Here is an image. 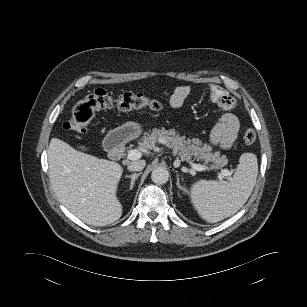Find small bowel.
I'll return each instance as SVG.
<instances>
[{"mask_svg": "<svg viewBox=\"0 0 307 307\" xmlns=\"http://www.w3.org/2000/svg\"><path fill=\"white\" fill-rule=\"evenodd\" d=\"M190 93L191 87L188 85L176 87L169 98L170 107L174 109L181 107ZM209 93L221 108H232L233 99L220 86L211 84ZM239 128V120L233 113L223 114L210 133V143L222 149H229L237 138Z\"/></svg>", "mask_w": 307, "mask_h": 307, "instance_id": "1", "label": "small bowel"}]
</instances>
